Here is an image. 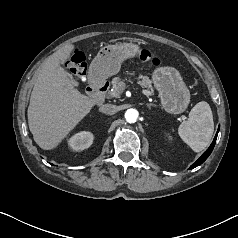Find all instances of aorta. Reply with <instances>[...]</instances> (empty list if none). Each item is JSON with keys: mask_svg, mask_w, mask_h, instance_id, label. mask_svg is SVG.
I'll use <instances>...</instances> for the list:
<instances>
[{"mask_svg": "<svg viewBox=\"0 0 238 238\" xmlns=\"http://www.w3.org/2000/svg\"><path fill=\"white\" fill-rule=\"evenodd\" d=\"M138 115V111L131 108L125 112V119L128 123H135L137 121Z\"/></svg>", "mask_w": 238, "mask_h": 238, "instance_id": "1", "label": "aorta"}]
</instances>
